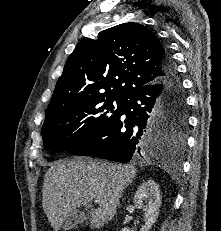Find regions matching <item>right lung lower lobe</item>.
I'll list each match as a JSON object with an SVG mask.
<instances>
[{
	"instance_id": "98d812e1",
	"label": "right lung lower lobe",
	"mask_w": 221,
	"mask_h": 231,
	"mask_svg": "<svg viewBox=\"0 0 221 231\" xmlns=\"http://www.w3.org/2000/svg\"><path fill=\"white\" fill-rule=\"evenodd\" d=\"M161 67V82L129 94L118 114L103 129L67 152L121 163L158 154L166 137L155 130L154 114L166 99L185 103L176 65L166 49Z\"/></svg>"
}]
</instances>
